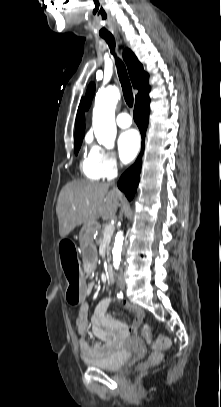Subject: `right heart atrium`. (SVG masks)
Here are the masks:
<instances>
[{
    "instance_id": "1",
    "label": "right heart atrium",
    "mask_w": 221,
    "mask_h": 407,
    "mask_svg": "<svg viewBox=\"0 0 221 407\" xmlns=\"http://www.w3.org/2000/svg\"><path fill=\"white\" fill-rule=\"evenodd\" d=\"M89 155L102 178H110L117 173L119 163L113 152L99 145H92Z\"/></svg>"
}]
</instances>
